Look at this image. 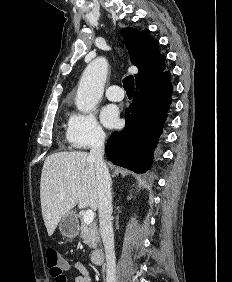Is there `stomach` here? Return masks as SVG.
<instances>
[{
  "instance_id": "stomach-1",
  "label": "stomach",
  "mask_w": 232,
  "mask_h": 282,
  "mask_svg": "<svg viewBox=\"0 0 232 282\" xmlns=\"http://www.w3.org/2000/svg\"><path fill=\"white\" fill-rule=\"evenodd\" d=\"M59 231L67 239H73L79 232V224L73 211L66 213L59 222Z\"/></svg>"
}]
</instances>
